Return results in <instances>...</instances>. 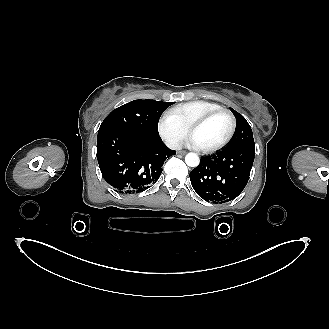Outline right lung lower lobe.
Wrapping results in <instances>:
<instances>
[{
	"mask_svg": "<svg viewBox=\"0 0 329 329\" xmlns=\"http://www.w3.org/2000/svg\"><path fill=\"white\" fill-rule=\"evenodd\" d=\"M175 153L160 136L147 132L119 128L98 132L97 160L102 176L122 194L148 189L159 179L164 161Z\"/></svg>",
	"mask_w": 329,
	"mask_h": 329,
	"instance_id": "98d812e1",
	"label": "right lung lower lobe"
}]
</instances>
